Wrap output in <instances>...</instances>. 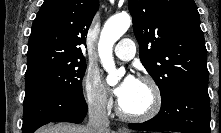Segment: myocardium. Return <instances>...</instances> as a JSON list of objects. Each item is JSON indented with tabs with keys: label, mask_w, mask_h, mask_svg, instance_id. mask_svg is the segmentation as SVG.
<instances>
[{
	"label": "myocardium",
	"mask_w": 221,
	"mask_h": 133,
	"mask_svg": "<svg viewBox=\"0 0 221 133\" xmlns=\"http://www.w3.org/2000/svg\"><path fill=\"white\" fill-rule=\"evenodd\" d=\"M138 81L149 87L152 96L151 104L149 108L142 113H128L123 109L121 101L119 100L117 104V114L120 118L127 121H148L154 118L160 112L162 107V93L158 83L149 76H141L138 78Z\"/></svg>",
	"instance_id": "f54148a6"
}]
</instances>
